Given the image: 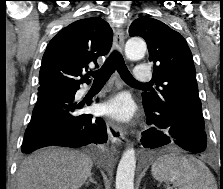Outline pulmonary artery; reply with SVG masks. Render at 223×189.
Here are the masks:
<instances>
[{"instance_id":"obj_1","label":"pulmonary artery","mask_w":223,"mask_h":189,"mask_svg":"<svg viewBox=\"0 0 223 189\" xmlns=\"http://www.w3.org/2000/svg\"><path fill=\"white\" fill-rule=\"evenodd\" d=\"M152 78L151 70L145 64L138 65L134 70V79L137 82H148Z\"/></svg>"}]
</instances>
